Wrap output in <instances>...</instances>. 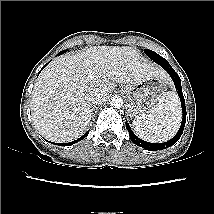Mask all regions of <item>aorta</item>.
<instances>
[{"label":"aorta","mask_w":214,"mask_h":214,"mask_svg":"<svg viewBox=\"0 0 214 214\" xmlns=\"http://www.w3.org/2000/svg\"><path fill=\"white\" fill-rule=\"evenodd\" d=\"M110 105L115 108V109H119L122 107L123 105V99L120 97V96H113L111 98V101H110Z\"/></svg>","instance_id":"obj_1"}]
</instances>
